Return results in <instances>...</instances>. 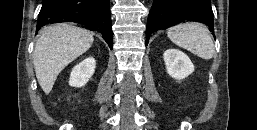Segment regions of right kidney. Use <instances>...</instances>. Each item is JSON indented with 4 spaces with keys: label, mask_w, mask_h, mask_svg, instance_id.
<instances>
[{
    "label": "right kidney",
    "mask_w": 257,
    "mask_h": 130,
    "mask_svg": "<svg viewBox=\"0 0 257 130\" xmlns=\"http://www.w3.org/2000/svg\"><path fill=\"white\" fill-rule=\"evenodd\" d=\"M96 61L93 57H88L77 64L71 72L69 84L73 87L84 86L92 77L95 71Z\"/></svg>",
    "instance_id": "ca27d5eb"
}]
</instances>
